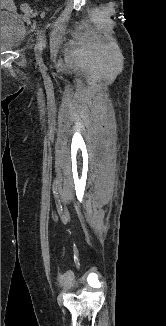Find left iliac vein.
<instances>
[{
	"label": "left iliac vein",
	"instance_id": "left-iliac-vein-1",
	"mask_svg": "<svg viewBox=\"0 0 166 326\" xmlns=\"http://www.w3.org/2000/svg\"><path fill=\"white\" fill-rule=\"evenodd\" d=\"M34 49H35V55L39 58L42 54V51H41L42 48H41L40 44L37 43L35 45Z\"/></svg>",
	"mask_w": 166,
	"mask_h": 326
}]
</instances>
